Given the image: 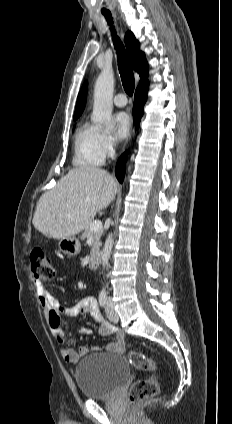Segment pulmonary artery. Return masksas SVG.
Here are the masks:
<instances>
[{
  "label": "pulmonary artery",
  "mask_w": 232,
  "mask_h": 424,
  "mask_svg": "<svg viewBox=\"0 0 232 424\" xmlns=\"http://www.w3.org/2000/svg\"><path fill=\"white\" fill-rule=\"evenodd\" d=\"M113 102L117 107H125L128 101L125 94L119 93L114 97Z\"/></svg>",
  "instance_id": "1"
}]
</instances>
